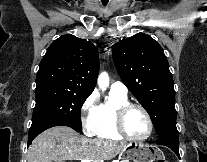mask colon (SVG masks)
Wrapping results in <instances>:
<instances>
[{"label":"colon","mask_w":207,"mask_h":162,"mask_svg":"<svg viewBox=\"0 0 207 162\" xmlns=\"http://www.w3.org/2000/svg\"><path fill=\"white\" fill-rule=\"evenodd\" d=\"M157 162H169L167 160H158Z\"/></svg>","instance_id":"colon-1"}]
</instances>
